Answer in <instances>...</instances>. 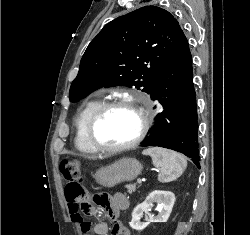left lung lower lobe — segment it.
Wrapping results in <instances>:
<instances>
[{
    "label": "left lung lower lobe",
    "mask_w": 250,
    "mask_h": 235,
    "mask_svg": "<svg viewBox=\"0 0 250 235\" xmlns=\"http://www.w3.org/2000/svg\"><path fill=\"white\" fill-rule=\"evenodd\" d=\"M149 94L153 100L159 101L160 108L150 136L141 145L181 152L200 168L192 57L183 31L159 70Z\"/></svg>",
    "instance_id": "1"
}]
</instances>
